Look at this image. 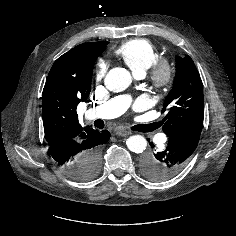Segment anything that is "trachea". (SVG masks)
I'll use <instances>...</instances> for the list:
<instances>
[{
	"label": "trachea",
	"instance_id": "obj_1",
	"mask_svg": "<svg viewBox=\"0 0 236 236\" xmlns=\"http://www.w3.org/2000/svg\"><path fill=\"white\" fill-rule=\"evenodd\" d=\"M94 125H95L97 128H103L104 122H103L102 120H96V121L94 122ZM136 130H137V131H141V132H146V131H148V128H147V126H145V125H137V126H136Z\"/></svg>",
	"mask_w": 236,
	"mask_h": 236
}]
</instances>
